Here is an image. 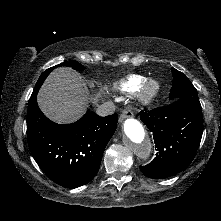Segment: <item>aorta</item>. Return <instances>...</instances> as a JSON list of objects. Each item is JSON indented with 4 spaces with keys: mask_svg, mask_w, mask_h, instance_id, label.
Returning <instances> with one entry per match:
<instances>
[{
    "mask_svg": "<svg viewBox=\"0 0 221 221\" xmlns=\"http://www.w3.org/2000/svg\"><path fill=\"white\" fill-rule=\"evenodd\" d=\"M125 143L128 148L142 159H147L152 151V144L142 124L134 119L128 118L123 124Z\"/></svg>",
    "mask_w": 221,
    "mask_h": 221,
    "instance_id": "aorta-1",
    "label": "aorta"
}]
</instances>
